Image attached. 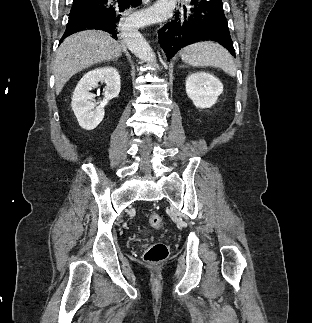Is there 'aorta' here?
Listing matches in <instances>:
<instances>
[{
    "instance_id": "1",
    "label": "aorta",
    "mask_w": 312,
    "mask_h": 323,
    "mask_svg": "<svg viewBox=\"0 0 312 323\" xmlns=\"http://www.w3.org/2000/svg\"><path fill=\"white\" fill-rule=\"evenodd\" d=\"M126 46L136 58L143 60V62H156V56L152 52L148 42L143 38L138 30H129L124 34Z\"/></svg>"
}]
</instances>
